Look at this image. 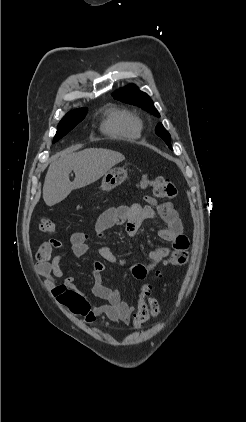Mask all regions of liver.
I'll list each match as a JSON object with an SVG mask.
<instances>
[{
  "instance_id": "obj_1",
  "label": "liver",
  "mask_w": 246,
  "mask_h": 422,
  "mask_svg": "<svg viewBox=\"0 0 246 422\" xmlns=\"http://www.w3.org/2000/svg\"><path fill=\"white\" fill-rule=\"evenodd\" d=\"M125 157L115 151L90 148L77 153L63 152L49 166L43 186L46 205L53 206L64 200L72 190L85 187L104 176ZM75 173L73 182L69 179Z\"/></svg>"
}]
</instances>
